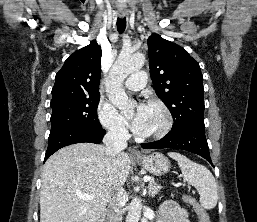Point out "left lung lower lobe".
I'll use <instances>...</instances> for the list:
<instances>
[{"mask_svg":"<svg viewBox=\"0 0 257 222\" xmlns=\"http://www.w3.org/2000/svg\"><path fill=\"white\" fill-rule=\"evenodd\" d=\"M143 149H182L205 158L212 166L209 147L205 137V126L189 125L171 130L164 138L150 143H142Z\"/></svg>","mask_w":257,"mask_h":222,"instance_id":"0a47b994","label":"left lung lower lobe"}]
</instances>
